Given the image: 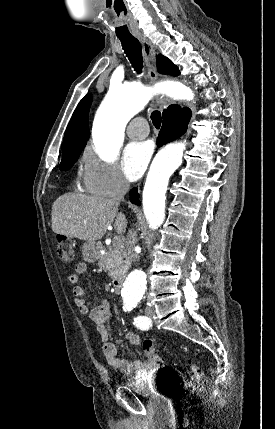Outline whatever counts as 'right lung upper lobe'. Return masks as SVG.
Instances as JSON below:
<instances>
[{
  "label": "right lung upper lobe",
  "instance_id": "right-lung-upper-lobe-1",
  "mask_svg": "<svg viewBox=\"0 0 275 429\" xmlns=\"http://www.w3.org/2000/svg\"><path fill=\"white\" fill-rule=\"evenodd\" d=\"M91 104V95L85 96L77 108L67 126L62 143V157L81 153L89 139L88 112Z\"/></svg>",
  "mask_w": 275,
  "mask_h": 429
}]
</instances>
